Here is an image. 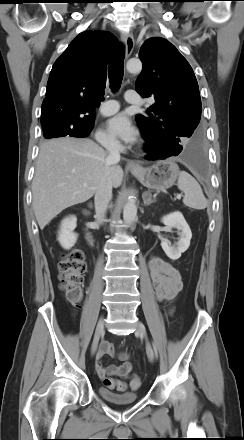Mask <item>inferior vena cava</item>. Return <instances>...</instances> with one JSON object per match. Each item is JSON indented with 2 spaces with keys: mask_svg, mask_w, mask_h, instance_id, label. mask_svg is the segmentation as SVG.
Masks as SVG:
<instances>
[{
  "mask_svg": "<svg viewBox=\"0 0 244 440\" xmlns=\"http://www.w3.org/2000/svg\"><path fill=\"white\" fill-rule=\"evenodd\" d=\"M107 152H108V161L109 163H115L120 160L119 146L114 141H108L104 144ZM112 199V182L108 175H105L100 181L96 192H95V211H96V220L98 223L105 217V213L108 208V204Z\"/></svg>",
  "mask_w": 244,
  "mask_h": 440,
  "instance_id": "602c4592",
  "label": "inferior vena cava"
}]
</instances>
